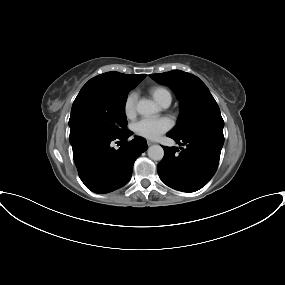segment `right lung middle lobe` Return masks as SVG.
<instances>
[{"label":"right lung middle lobe","instance_id":"obj_1","mask_svg":"<svg viewBox=\"0 0 285 285\" xmlns=\"http://www.w3.org/2000/svg\"><path fill=\"white\" fill-rule=\"evenodd\" d=\"M130 90L88 88L76 97L69 119L70 142L99 133L118 136L126 132L125 102Z\"/></svg>","mask_w":285,"mask_h":285}]
</instances>
